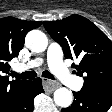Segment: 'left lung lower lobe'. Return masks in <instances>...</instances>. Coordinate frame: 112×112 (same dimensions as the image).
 <instances>
[{
  "label": "left lung lower lobe",
  "instance_id": "0a47b994",
  "mask_svg": "<svg viewBox=\"0 0 112 112\" xmlns=\"http://www.w3.org/2000/svg\"><path fill=\"white\" fill-rule=\"evenodd\" d=\"M71 106L61 112H107L112 105V94L80 90L73 92Z\"/></svg>",
  "mask_w": 112,
  "mask_h": 112
}]
</instances>
